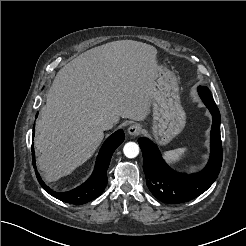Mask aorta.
Listing matches in <instances>:
<instances>
[{
    "label": "aorta",
    "instance_id": "obj_1",
    "mask_svg": "<svg viewBox=\"0 0 246 246\" xmlns=\"http://www.w3.org/2000/svg\"><path fill=\"white\" fill-rule=\"evenodd\" d=\"M123 152L127 158H135L139 154V146L135 142H128L124 145Z\"/></svg>",
    "mask_w": 246,
    "mask_h": 246
}]
</instances>
